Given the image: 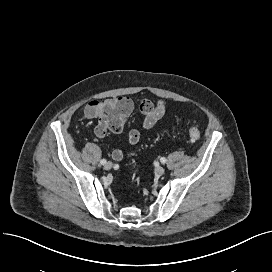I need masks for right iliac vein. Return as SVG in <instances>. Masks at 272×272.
Listing matches in <instances>:
<instances>
[{
  "mask_svg": "<svg viewBox=\"0 0 272 272\" xmlns=\"http://www.w3.org/2000/svg\"><path fill=\"white\" fill-rule=\"evenodd\" d=\"M112 168V163L111 162H107L105 165H104V169L105 170H110Z\"/></svg>",
  "mask_w": 272,
  "mask_h": 272,
  "instance_id": "right-iliac-vein-1",
  "label": "right iliac vein"
}]
</instances>
